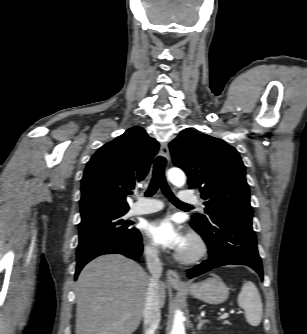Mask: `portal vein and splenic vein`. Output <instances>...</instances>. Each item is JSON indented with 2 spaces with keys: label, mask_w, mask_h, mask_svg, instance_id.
I'll list each match as a JSON object with an SVG mask.
<instances>
[{
  "label": "portal vein and splenic vein",
  "mask_w": 307,
  "mask_h": 334,
  "mask_svg": "<svg viewBox=\"0 0 307 334\" xmlns=\"http://www.w3.org/2000/svg\"><path fill=\"white\" fill-rule=\"evenodd\" d=\"M228 315H229L228 313H225V314H223V315L220 316V319H225V318L228 317Z\"/></svg>",
  "instance_id": "1"
}]
</instances>
